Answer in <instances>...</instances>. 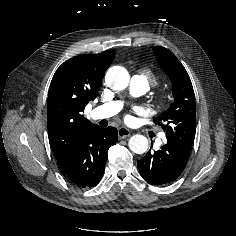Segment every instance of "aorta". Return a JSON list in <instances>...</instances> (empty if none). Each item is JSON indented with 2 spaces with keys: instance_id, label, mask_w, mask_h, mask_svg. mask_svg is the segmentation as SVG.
Segmentation results:
<instances>
[{
  "instance_id": "762f6f07",
  "label": "aorta",
  "mask_w": 236,
  "mask_h": 236,
  "mask_svg": "<svg viewBox=\"0 0 236 236\" xmlns=\"http://www.w3.org/2000/svg\"><path fill=\"white\" fill-rule=\"evenodd\" d=\"M105 81L111 89L120 91L127 88L130 75L124 67L114 66L107 71ZM128 145L132 152L143 154L148 150V139L143 135L136 134L129 139Z\"/></svg>"
}]
</instances>
